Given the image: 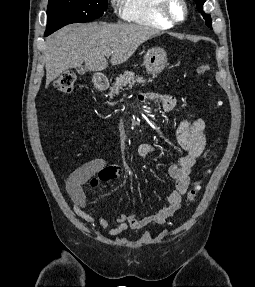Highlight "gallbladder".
Masks as SVG:
<instances>
[{"mask_svg": "<svg viewBox=\"0 0 255 287\" xmlns=\"http://www.w3.org/2000/svg\"><path fill=\"white\" fill-rule=\"evenodd\" d=\"M76 72H78V74H85L86 68H81V66H79V68H76Z\"/></svg>", "mask_w": 255, "mask_h": 287, "instance_id": "bac80fb5", "label": "gallbladder"}]
</instances>
